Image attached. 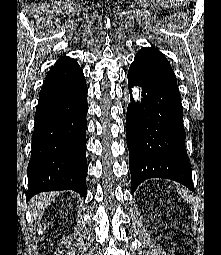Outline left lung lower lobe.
Masks as SVG:
<instances>
[{
	"instance_id": "1",
	"label": "left lung lower lobe",
	"mask_w": 221,
	"mask_h": 255,
	"mask_svg": "<svg viewBox=\"0 0 221 255\" xmlns=\"http://www.w3.org/2000/svg\"><path fill=\"white\" fill-rule=\"evenodd\" d=\"M135 85L142 87L143 98L134 104L131 97L127 108L132 194L149 178L171 179L194 191L177 81L160 51L145 47L136 54L128 71L130 94Z\"/></svg>"
}]
</instances>
